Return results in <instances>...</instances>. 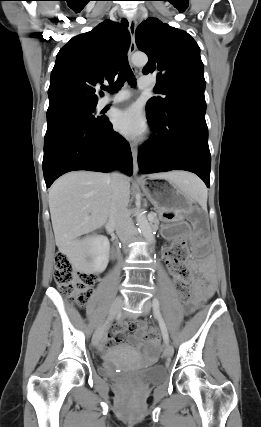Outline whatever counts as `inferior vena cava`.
<instances>
[{"mask_svg":"<svg viewBox=\"0 0 261 427\" xmlns=\"http://www.w3.org/2000/svg\"><path fill=\"white\" fill-rule=\"evenodd\" d=\"M111 188L112 200L109 210V223L115 227L118 237L126 246L136 235V229L127 208L130 191L126 176L120 172H113Z\"/></svg>","mask_w":261,"mask_h":427,"instance_id":"602c4592","label":"inferior vena cava"}]
</instances>
